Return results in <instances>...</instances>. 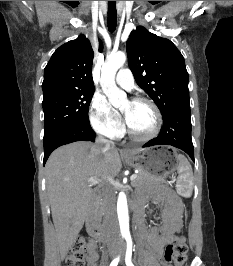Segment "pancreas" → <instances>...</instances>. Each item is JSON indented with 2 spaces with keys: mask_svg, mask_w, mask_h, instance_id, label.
Masks as SVG:
<instances>
[{
  "mask_svg": "<svg viewBox=\"0 0 233 266\" xmlns=\"http://www.w3.org/2000/svg\"><path fill=\"white\" fill-rule=\"evenodd\" d=\"M157 181H161V179L155 175L150 174V173L140 171L137 174V178L132 181V186L133 187H139L141 185L154 183Z\"/></svg>",
  "mask_w": 233,
  "mask_h": 266,
  "instance_id": "pancreas-1",
  "label": "pancreas"
}]
</instances>
